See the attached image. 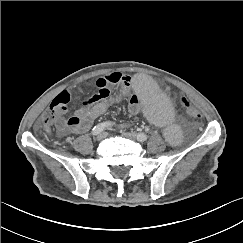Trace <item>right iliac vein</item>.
Here are the masks:
<instances>
[{
	"label": "right iliac vein",
	"instance_id": "63e3f726",
	"mask_svg": "<svg viewBox=\"0 0 243 243\" xmlns=\"http://www.w3.org/2000/svg\"><path fill=\"white\" fill-rule=\"evenodd\" d=\"M107 137V133L106 132H101L97 135V140H103Z\"/></svg>",
	"mask_w": 243,
	"mask_h": 243
}]
</instances>
